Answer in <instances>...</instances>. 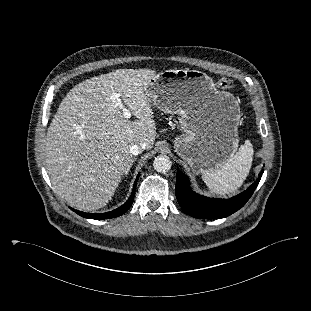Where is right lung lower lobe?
Listing matches in <instances>:
<instances>
[{"instance_id": "1", "label": "right lung lower lobe", "mask_w": 311, "mask_h": 311, "mask_svg": "<svg viewBox=\"0 0 311 311\" xmlns=\"http://www.w3.org/2000/svg\"><path fill=\"white\" fill-rule=\"evenodd\" d=\"M137 179H138V176L136 178L132 194H131L130 198L128 199V201L125 204H123L122 206H120L119 208H117V209H115L113 211H110V212H107V213H85V212H81V211L75 210L73 208H71V210L76 212L77 214H79L80 216H82L84 218H90V219H95V220H102V219L118 217V216L124 214L130 208V206H131V204L133 202L134 196H135Z\"/></svg>"}]
</instances>
